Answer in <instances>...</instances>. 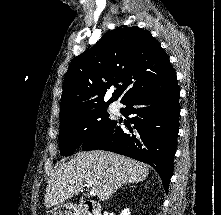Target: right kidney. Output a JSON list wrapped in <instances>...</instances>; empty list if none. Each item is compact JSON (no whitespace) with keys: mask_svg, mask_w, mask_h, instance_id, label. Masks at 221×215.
Wrapping results in <instances>:
<instances>
[{"mask_svg":"<svg viewBox=\"0 0 221 215\" xmlns=\"http://www.w3.org/2000/svg\"><path fill=\"white\" fill-rule=\"evenodd\" d=\"M120 215H130V211L128 208L124 209Z\"/></svg>","mask_w":221,"mask_h":215,"instance_id":"ca27d5eb","label":"right kidney"}]
</instances>
